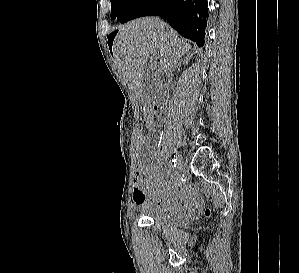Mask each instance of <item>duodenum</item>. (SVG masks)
Masks as SVG:
<instances>
[{"label": "duodenum", "instance_id": "1", "mask_svg": "<svg viewBox=\"0 0 299 273\" xmlns=\"http://www.w3.org/2000/svg\"><path fill=\"white\" fill-rule=\"evenodd\" d=\"M153 107L154 109L163 115L165 112V101L163 96H157L153 99Z\"/></svg>", "mask_w": 299, "mask_h": 273}]
</instances>
